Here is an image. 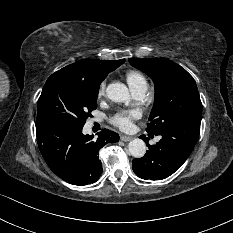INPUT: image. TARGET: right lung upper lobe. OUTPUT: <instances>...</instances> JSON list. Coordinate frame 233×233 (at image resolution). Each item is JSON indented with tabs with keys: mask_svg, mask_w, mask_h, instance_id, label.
<instances>
[{
	"mask_svg": "<svg viewBox=\"0 0 233 233\" xmlns=\"http://www.w3.org/2000/svg\"><path fill=\"white\" fill-rule=\"evenodd\" d=\"M124 61L125 60H81L57 72L68 74L88 84L100 85L108 73L115 70L123 64Z\"/></svg>",
	"mask_w": 233,
	"mask_h": 233,
	"instance_id": "cb5924a9",
	"label": "right lung upper lobe"
}]
</instances>
